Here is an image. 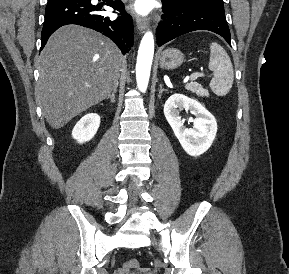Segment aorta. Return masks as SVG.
Returning a JSON list of instances; mask_svg holds the SVG:
<instances>
[{"mask_svg":"<svg viewBox=\"0 0 289 274\" xmlns=\"http://www.w3.org/2000/svg\"><path fill=\"white\" fill-rule=\"evenodd\" d=\"M153 55L154 37L152 32H146L139 46L136 63L137 86L141 92H146L148 87Z\"/></svg>","mask_w":289,"mask_h":274,"instance_id":"1","label":"aorta"}]
</instances>
